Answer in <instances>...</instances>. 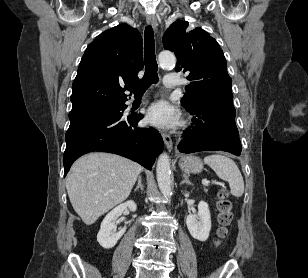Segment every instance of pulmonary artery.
Here are the masks:
<instances>
[{
    "instance_id": "obj_1",
    "label": "pulmonary artery",
    "mask_w": 308,
    "mask_h": 278,
    "mask_svg": "<svg viewBox=\"0 0 308 278\" xmlns=\"http://www.w3.org/2000/svg\"><path fill=\"white\" fill-rule=\"evenodd\" d=\"M179 84V79L176 74H167L164 77V85L168 88H173Z\"/></svg>"
}]
</instances>
